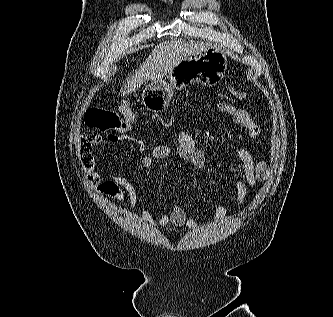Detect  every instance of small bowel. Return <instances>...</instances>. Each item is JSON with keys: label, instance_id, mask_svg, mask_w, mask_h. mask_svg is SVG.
Listing matches in <instances>:
<instances>
[{"label": "small bowel", "instance_id": "1", "mask_svg": "<svg viewBox=\"0 0 333 317\" xmlns=\"http://www.w3.org/2000/svg\"><path fill=\"white\" fill-rule=\"evenodd\" d=\"M217 107L221 112L230 116L232 123L244 127L252 138L259 136V127L248 111L227 102H221ZM106 139L110 142L132 141L137 144L140 150L145 149V145L141 140L128 135L108 134ZM101 142L102 137L93 132L85 133L81 138L80 159L83 166L88 170V182L100 195L108 196L120 203H124L128 199L132 209L135 210L138 204V194L134 184L116 173L111 174L107 179H103L97 170L93 148ZM173 152L194 168L200 169L205 166V153L197 146L194 137L190 133L181 130L177 135L174 146L166 144L154 146L150 154L141 159V168L148 170L153 167L155 161H167ZM231 153L242 164L244 177L235 179L234 189L238 205H243L246 201L249 187H253L258 182L264 181L268 176L269 168L264 161L256 162L245 148L233 147ZM225 215L226 207L223 203H220L215 208L213 221L220 223ZM145 216L149 224L153 227L172 225L175 227L186 226L192 230L199 228L196 219L188 215L180 205H174L170 212H163L158 221H154L147 213Z\"/></svg>", "mask_w": 333, "mask_h": 317}]
</instances>
